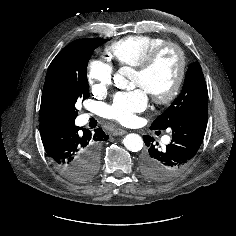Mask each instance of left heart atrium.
Wrapping results in <instances>:
<instances>
[{
    "label": "left heart atrium",
    "mask_w": 236,
    "mask_h": 236,
    "mask_svg": "<svg viewBox=\"0 0 236 236\" xmlns=\"http://www.w3.org/2000/svg\"><path fill=\"white\" fill-rule=\"evenodd\" d=\"M148 101V93L144 88L118 93L107 108V115L122 124H130L137 113L147 108Z\"/></svg>",
    "instance_id": "left-heart-atrium-1"
}]
</instances>
